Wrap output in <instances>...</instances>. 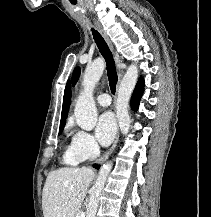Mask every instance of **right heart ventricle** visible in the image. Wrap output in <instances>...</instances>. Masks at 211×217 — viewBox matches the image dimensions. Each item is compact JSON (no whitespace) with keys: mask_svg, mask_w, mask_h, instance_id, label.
Masks as SVG:
<instances>
[{"mask_svg":"<svg viewBox=\"0 0 211 217\" xmlns=\"http://www.w3.org/2000/svg\"><path fill=\"white\" fill-rule=\"evenodd\" d=\"M63 159L64 162L69 165H76L79 162L83 161V159L73 149L72 144L66 148Z\"/></svg>","mask_w":211,"mask_h":217,"instance_id":"e07e8e85","label":"right heart ventricle"}]
</instances>
